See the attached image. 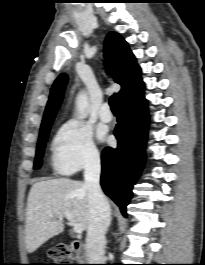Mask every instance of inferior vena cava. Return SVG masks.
Listing matches in <instances>:
<instances>
[{
  "instance_id": "obj_1",
  "label": "inferior vena cava",
  "mask_w": 205,
  "mask_h": 265,
  "mask_svg": "<svg viewBox=\"0 0 205 265\" xmlns=\"http://www.w3.org/2000/svg\"><path fill=\"white\" fill-rule=\"evenodd\" d=\"M100 156L91 154L86 161L84 179L88 189L90 219L87 228L86 252L89 263H103L105 233L111 221V209L100 187Z\"/></svg>"
}]
</instances>
